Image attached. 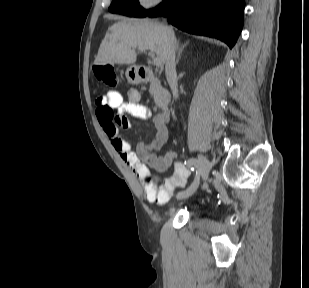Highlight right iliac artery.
<instances>
[{"label":"right iliac artery","mask_w":309,"mask_h":288,"mask_svg":"<svg viewBox=\"0 0 309 288\" xmlns=\"http://www.w3.org/2000/svg\"><path fill=\"white\" fill-rule=\"evenodd\" d=\"M201 165H200V161H197V163L195 164V171H200ZM188 171V170H187ZM199 176L200 174H195L194 177V182L192 183V185H189L187 188H184V190H178L177 193L173 194L174 198H177L178 195H181V197L185 198L187 197L188 193H192L193 190H195L197 184H198V180H199Z\"/></svg>","instance_id":"1"}]
</instances>
